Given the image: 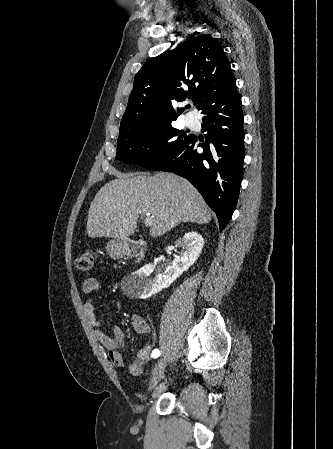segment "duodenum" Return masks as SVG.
<instances>
[{"label": "duodenum", "mask_w": 333, "mask_h": 449, "mask_svg": "<svg viewBox=\"0 0 333 449\" xmlns=\"http://www.w3.org/2000/svg\"><path fill=\"white\" fill-rule=\"evenodd\" d=\"M146 247L137 241L123 240L116 246V254L119 257H131L140 261L144 258Z\"/></svg>", "instance_id": "1"}]
</instances>
